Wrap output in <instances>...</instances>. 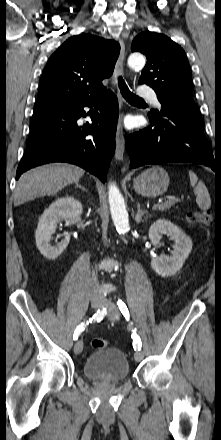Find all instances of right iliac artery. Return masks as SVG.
Masks as SVG:
<instances>
[{
    "label": "right iliac artery",
    "instance_id": "right-iliac-artery-1",
    "mask_svg": "<svg viewBox=\"0 0 221 440\" xmlns=\"http://www.w3.org/2000/svg\"><path fill=\"white\" fill-rule=\"evenodd\" d=\"M106 315V308H103L101 310H98L92 318L89 319V321H87L86 323L83 322L81 323L79 326H77L74 335H73V339L77 340L80 333L85 329V326L88 325L89 323H92V321H101L103 319V317Z\"/></svg>",
    "mask_w": 221,
    "mask_h": 440
}]
</instances>
